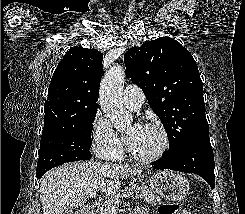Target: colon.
Masks as SVG:
<instances>
[{
	"label": "colon",
	"instance_id": "1",
	"mask_svg": "<svg viewBox=\"0 0 245 214\" xmlns=\"http://www.w3.org/2000/svg\"><path fill=\"white\" fill-rule=\"evenodd\" d=\"M159 214H189V213L183 212L180 209V206L178 203L169 202V203H163L160 205Z\"/></svg>",
	"mask_w": 245,
	"mask_h": 214
}]
</instances>
